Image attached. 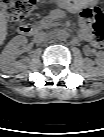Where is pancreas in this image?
<instances>
[{
    "label": "pancreas",
    "instance_id": "obj_1",
    "mask_svg": "<svg viewBox=\"0 0 104 137\" xmlns=\"http://www.w3.org/2000/svg\"><path fill=\"white\" fill-rule=\"evenodd\" d=\"M45 24H46L45 21H40V22H39V25H40V26H43V25H45Z\"/></svg>",
    "mask_w": 104,
    "mask_h": 137
}]
</instances>
